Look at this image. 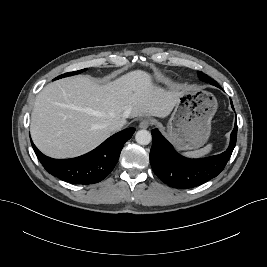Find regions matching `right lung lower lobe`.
Masks as SVG:
<instances>
[{
	"label": "right lung lower lobe",
	"mask_w": 267,
	"mask_h": 267,
	"mask_svg": "<svg viewBox=\"0 0 267 267\" xmlns=\"http://www.w3.org/2000/svg\"><path fill=\"white\" fill-rule=\"evenodd\" d=\"M134 132L133 127L120 131L91 152L72 159L47 157L31 143L47 172L63 181L86 185L100 182L113 170L124 144Z\"/></svg>",
	"instance_id": "98d812e1"
}]
</instances>
